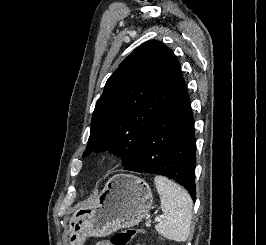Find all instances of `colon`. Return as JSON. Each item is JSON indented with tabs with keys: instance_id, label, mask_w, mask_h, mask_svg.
Segmentation results:
<instances>
[{
	"instance_id": "obj_1",
	"label": "colon",
	"mask_w": 266,
	"mask_h": 245,
	"mask_svg": "<svg viewBox=\"0 0 266 245\" xmlns=\"http://www.w3.org/2000/svg\"><path fill=\"white\" fill-rule=\"evenodd\" d=\"M140 233L139 229L126 228L116 232L111 237V245H129L130 241ZM97 245H105L104 242H98Z\"/></svg>"
}]
</instances>
